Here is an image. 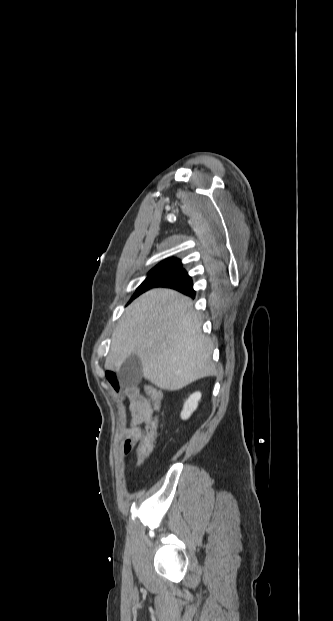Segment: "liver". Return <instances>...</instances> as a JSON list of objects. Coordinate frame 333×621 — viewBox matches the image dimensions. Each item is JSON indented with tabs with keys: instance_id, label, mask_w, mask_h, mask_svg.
Returning a JSON list of instances; mask_svg holds the SVG:
<instances>
[{
	"instance_id": "obj_1",
	"label": "liver",
	"mask_w": 333,
	"mask_h": 621,
	"mask_svg": "<svg viewBox=\"0 0 333 621\" xmlns=\"http://www.w3.org/2000/svg\"><path fill=\"white\" fill-rule=\"evenodd\" d=\"M191 299L175 290L152 289L126 309L112 335L106 367L119 370L132 354L143 376L163 390L175 391L213 375V344L201 331Z\"/></svg>"
}]
</instances>
